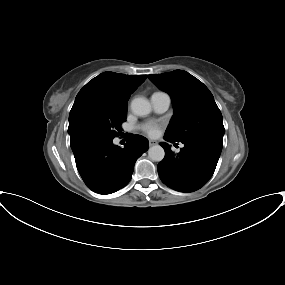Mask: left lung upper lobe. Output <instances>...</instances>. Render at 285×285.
<instances>
[{
  "instance_id": "obj_1",
  "label": "left lung upper lobe",
  "mask_w": 285,
  "mask_h": 285,
  "mask_svg": "<svg viewBox=\"0 0 285 285\" xmlns=\"http://www.w3.org/2000/svg\"><path fill=\"white\" fill-rule=\"evenodd\" d=\"M148 78L172 98L174 115L166 137L176 142L199 138L223 141L222 114L201 81L183 70L148 75Z\"/></svg>"
}]
</instances>
